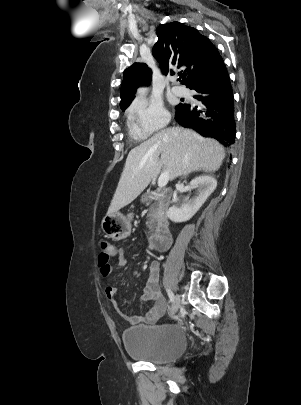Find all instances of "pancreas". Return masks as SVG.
I'll return each instance as SVG.
<instances>
[{
	"instance_id": "cf45deb5",
	"label": "pancreas",
	"mask_w": 301,
	"mask_h": 405,
	"mask_svg": "<svg viewBox=\"0 0 301 405\" xmlns=\"http://www.w3.org/2000/svg\"><path fill=\"white\" fill-rule=\"evenodd\" d=\"M148 200L149 201L153 200V196L150 193H146L145 195L142 196V202H147ZM158 212H159V205L154 203L149 209L148 222L146 223L149 230H153L156 224Z\"/></svg>"
}]
</instances>
